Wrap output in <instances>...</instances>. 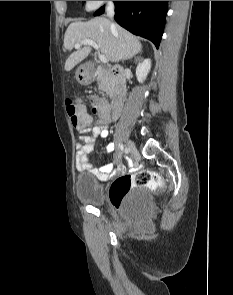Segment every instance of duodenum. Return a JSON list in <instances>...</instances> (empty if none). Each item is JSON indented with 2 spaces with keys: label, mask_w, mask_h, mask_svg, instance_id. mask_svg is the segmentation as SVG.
<instances>
[{
  "label": "duodenum",
  "mask_w": 233,
  "mask_h": 295,
  "mask_svg": "<svg viewBox=\"0 0 233 295\" xmlns=\"http://www.w3.org/2000/svg\"><path fill=\"white\" fill-rule=\"evenodd\" d=\"M99 75L107 76L112 80V112L114 115H118L126 97L124 72L120 68L114 67L109 70L99 71Z\"/></svg>",
  "instance_id": "1"
}]
</instances>
